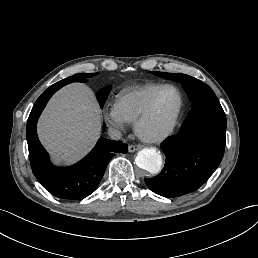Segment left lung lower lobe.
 Wrapping results in <instances>:
<instances>
[{"label":"left lung lower lobe","mask_w":258,"mask_h":258,"mask_svg":"<svg viewBox=\"0 0 258 258\" xmlns=\"http://www.w3.org/2000/svg\"><path fill=\"white\" fill-rule=\"evenodd\" d=\"M226 128L201 124L162 145L166 161L161 173L144 179L151 191L164 197H178L196 191L217 169L225 148Z\"/></svg>","instance_id":"obj_1"}]
</instances>
